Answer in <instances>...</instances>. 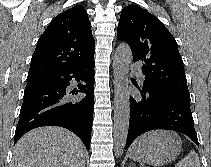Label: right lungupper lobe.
<instances>
[{
	"instance_id": "right-lung-upper-lobe-1",
	"label": "right lung upper lobe",
	"mask_w": 211,
	"mask_h": 167,
	"mask_svg": "<svg viewBox=\"0 0 211 167\" xmlns=\"http://www.w3.org/2000/svg\"><path fill=\"white\" fill-rule=\"evenodd\" d=\"M91 23L82 6L57 15L37 42L28 81L82 66L94 58Z\"/></svg>"
}]
</instances>
